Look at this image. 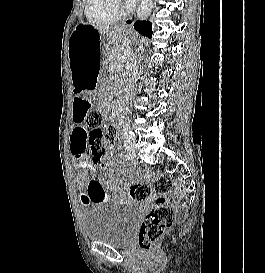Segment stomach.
Masks as SVG:
<instances>
[{"label":"stomach","mask_w":265,"mask_h":273,"mask_svg":"<svg viewBox=\"0 0 265 273\" xmlns=\"http://www.w3.org/2000/svg\"><path fill=\"white\" fill-rule=\"evenodd\" d=\"M132 37L133 32L124 27L113 35L101 33L85 23L78 24L68 43L74 95H93V90H97L99 85L97 78H108V69L113 68L112 64H121L122 60H127V55H103L105 49L145 48L146 40L131 44ZM101 60H105L106 64H101Z\"/></svg>","instance_id":"0dacf381"}]
</instances>
